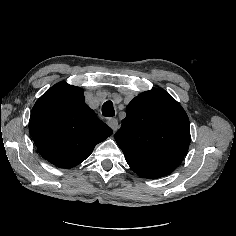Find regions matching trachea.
Wrapping results in <instances>:
<instances>
[{
	"mask_svg": "<svg viewBox=\"0 0 236 236\" xmlns=\"http://www.w3.org/2000/svg\"><path fill=\"white\" fill-rule=\"evenodd\" d=\"M102 114L105 116V117H112L115 115V111H114V108H113V103L109 100V101H106L103 106H102Z\"/></svg>",
	"mask_w": 236,
	"mask_h": 236,
	"instance_id": "3493384b",
	"label": "trachea"
}]
</instances>
